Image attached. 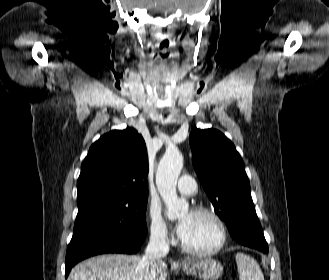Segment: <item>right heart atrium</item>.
Returning <instances> with one entry per match:
<instances>
[{"label": "right heart atrium", "mask_w": 329, "mask_h": 280, "mask_svg": "<svg viewBox=\"0 0 329 280\" xmlns=\"http://www.w3.org/2000/svg\"><path fill=\"white\" fill-rule=\"evenodd\" d=\"M148 219L149 233L152 241L158 244H169L171 241V232L157 207H150Z\"/></svg>", "instance_id": "right-heart-atrium-1"}]
</instances>
